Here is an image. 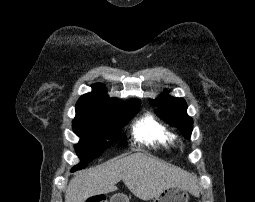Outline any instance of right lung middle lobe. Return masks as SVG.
<instances>
[{"label":"right lung middle lobe","mask_w":255,"mask_h":202,"mask_svg":"<svg viewBox=\"0 0 255 202\" xmlns=\"http://www.w3.org/2000/svg\"><path fill=\"white\" fill-rule=\"evenodd\" d=\"M138 109L139 105H134L104 117H76L72 125L74 133L80 137L75 150L81 163L73 167L72 171L85 168L92 159L110 147L119 137L120 128L127 124Z\"/></svg>","instance_id":"obj_1"}]
</instances>
